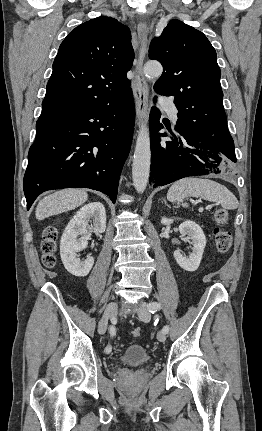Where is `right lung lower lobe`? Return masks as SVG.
I'll return each mask as SVG.
<instances>
[{
  "mask_svg": "<svg viewBox=\"0 0 262 431\" xmlns=\"http://www.w3.org/2000/svg\"><path fill=\"white\" fill-rule=\"evenodd\" d=\"M135 121L132 90L98 109L42 112L23 188L27 209L44 191L90 188L116 201Z\"/></svg>",
  "mask_w": 262,
  "mask_h": 431,
  "instance_id": "98d812e1",
  "label": "right lung lower lobe"
}]
</instances>
